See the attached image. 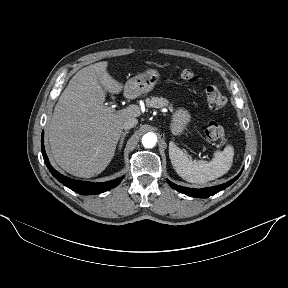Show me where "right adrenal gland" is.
Returning <instances> with one entry per match:
<instances>
[{
  "label": "right adrenal gland",
  "mask_w": 288,
  "mask_h": 288,
  "mask_svg": "<svg viewBox=\"0 0 288 288\" xmlns=\"http://www.w3.org/2000/svg\"><path fill=\"white\" fill-rule=\"evenodd\" d=\"M128 133H129V131H125V132L122 133L121 138H120L119 143H118V149H119V150L122 149L125 136H126Z\"/></svg>",
  "instance_id": "obj_1"
}]
</instances>
